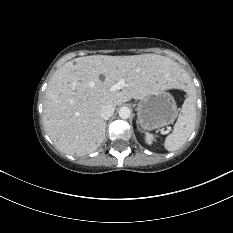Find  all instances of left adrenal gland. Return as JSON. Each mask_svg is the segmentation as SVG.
Masks as SVG:
<instances>
[{
	"label": "left adrenal gland",
	"mask_w": 233,
	"mask_h": 233,
	"mask_svg": "<svg viewBox=\"0 0 233 233\" xmlns=\"http://www.w3.org/2000/svg\"><path fill=\"white\" fill-rule=\"evenodd\" d=\"M137 126H138V129L140 130L138 123H137Z\"/></svg>",
	"instance_id": "obj_1"
}]
</instances>
